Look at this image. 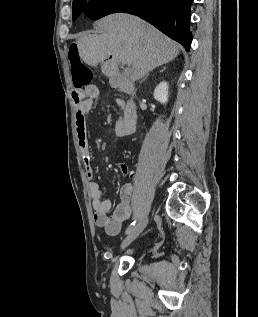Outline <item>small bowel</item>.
Listing matches in <instances>:
<instances>
[{"instance_id": "obj_1", "label": "small bowel", "mask_w": 258, "mask_h": 317, "mask_svg": "<svg viewBox=\"0 0 258 317\" xmlns=\"http://www.w3.org/2000/svg\"><path fill=\"white\" fill-rule=\"evenodd\" d=\"M88 98L76 108L75 126L78 145L82 153L86 175L90 180L88 185L89 195L94 210L93 219L97 227L103 228L107 235L116 236L121 231L122 225L127 222L134 211V195L131 184H124L120 189V203L112 214V204L109 200L103 199L99 184L93 180L94 170L92 167L91 147L87 132V115L93 104V98L97 91L93 87L87 88ZM121 107V116L116 122L115 132L119 136H128L135 131L136 110L133 104L117 100ZM118 169L122 175L133 176V172L125 163H119Z\"/></svg>"}]
</instances>
